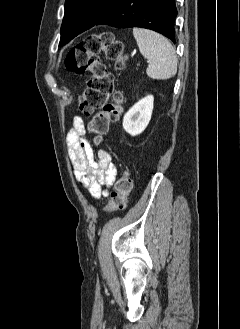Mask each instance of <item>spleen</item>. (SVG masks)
I'll use <instances>...</instances> for the list:
<instances>
[{
  "label": "spleen",
  "instance_id": "1",
  "mask_svg": "<svg viewBox=\"0 0 240 329\" xmlns=\"http://www.w3.org/2000/svg\"><path fill=\"white\" fill-rule=\"evenodd\" d=\"M133 35L140 53L148 60L147 75L152 79L167 80L177 72L174 47L164 36L148 29L134 28Z\"/></svg>",
  "mask_w": 240,
  "mask_h": 329
}]
</instances>
